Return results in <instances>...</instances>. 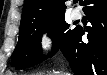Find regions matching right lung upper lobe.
Wrapping results in <instances>:
<instances>
[{
  "mask_svg": "<svg viewBox=\"0 0 107 75\" xmlns=\"http://www.w3.org/2000/svg\"><path fill=\"white\" fill-rule=\"evenodd\" d=\"M64 2L65 0H25L21 24L39 25L63 18L66 8Z\"/></svg>",
  "mask_w": 107,
  "mask_h": 75,
  "instance_id": "right-lung-upper-lobe-1",
  "label": "right lung upper lobe"
}]
</instances>
